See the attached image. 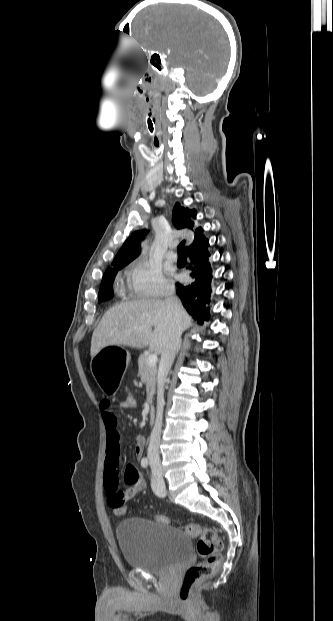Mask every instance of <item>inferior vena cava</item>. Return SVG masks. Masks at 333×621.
I'll list each match as a JSON object with an SVG mask.
<instances>
[{
  "mask_svg": "<svg viewBox=\"0 0 333 621\" xmlns=\"http://www.w3.org/2000/svg\"><path fill=\"white\" fill-rule=\"evenodd\" d=\"M165 303L167 305L168 317L170 319V326L167 333L166 341L164 344L163 352L159 363V384L157 392V416L154 427L152 429L149 446H148V461L151 465L160 464L159 444L162 429V416L164 401V384L168 372L174 362L175 355L178 351L181 339L182 328L177 320L178 312L181 307L180 301L171 292L166 296Z\"/></svg>",
  "mask_w": 333,
  "mask_h": 621,
  "instance_id": "1",
  "label": "inferior vena cava"
}]
</instances>
